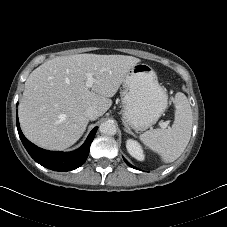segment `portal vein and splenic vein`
I'll use <instances>...</instances> for the list:
<instances>
[{"mask_svg":"<svg viewBox=\"0 0 227 227\" xmlns=\"http://www.w3.org/2000/svg\"><path fill=\"white\" fill-rule=\"evenodd\" d=\"M86 78H87L86 87L91 88L93 86L94 82H95L93 74L87 73ZM159 125H160L161 128H166L168 126V123L167 122H161Z\"/></svg>","mask_w":227,"mask_h":227,"instance_id":"18ae733b","label":"portal vein and splenic vein"}]
</instances>
